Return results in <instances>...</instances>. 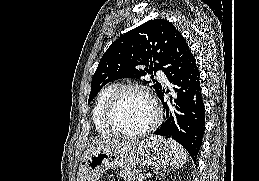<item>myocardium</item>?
Returning <instances> with one entry per match:
<instances>
[{
  "label": "myocardium",
  "mask_w": 259,
  "mask_h": 181,
  "mask_svg": "<svg viewBox=\"0 0 259 181\" xmlns=\"http://www.w3.org/2000/svg\"><path fill=\"white\" fill-rule=\"evenodd\" d=\"M128 92H139L143 94L149 100L154 111V117L152 121L145 128L133 132L122 130L117 126L115 122V111L117 109L119 101L122 96ZM161 119L162 111L155 97L146 86L140 84H126L118 86L110 96L104 111V121L106 125L114 134L125 138H137L147 135L159 125Z\"/></svg>",
  "instance_id": "f54148a6"
}]
</instances>
